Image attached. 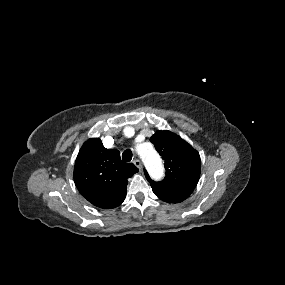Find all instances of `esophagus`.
I'll list each match as a JSON object with an SVG mask.
<instances>
[{
  "label": "esophagus",
  "mask_w": 285,
  "mask_h": 285,
  "mask_svg": "<svg viewBox=\"0 0 285 285\" xmlns=\"http://www.w3.org/2000/svg\"><path fill=\"white\" fill-rule=\"evenodd\" d=\"M133 163H134V165H135L137 168H139V170L142 169V163H141V161H140L139 159H135V160L133 161Z\"/></svg>",
  "instance_id": "34e87169"
}]
</instances>
